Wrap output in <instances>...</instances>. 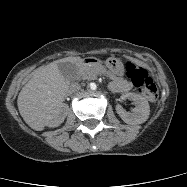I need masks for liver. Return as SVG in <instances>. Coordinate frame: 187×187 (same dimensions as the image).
<instances>
[{"label": "liver", "instance_id": "liver-1", "mask_svg": "<svg viewBox=\"0 0 187 187\" xmlns=\"http://www.w3.org/2000/svg\"><path fill=\"white\" fill-rule=\"evenodd\" d=\"M80 60L79 56L63 58L33 72L17 99L20 115L29 127L36 131L43 130L69 93L70 82L60 72L58 63L75 64Z\"/></svg>", "mask_w": 187, "mask_h": 187}]
</instances>
